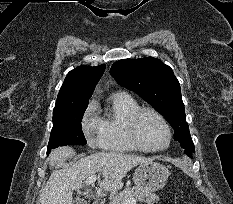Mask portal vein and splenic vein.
Masks as SVG:
<instances>
[{"label":"portal vein and splenic vein","instance_id":"18ae733b","mask_svg":"<svg viewBox=\"0 0 233 204\" xmlns=\"http://www.w3.org/2000/svg\"><path fill=\"white\" fill-rule=\"evenodd\" d=\"M96 181V175H91L87 180H86V185H91L93 183H95ZM96 195L98 197H103L105 194L101 191V190H96ZM123 204H136V200L135 199H128L125 200Z\"/></svg>","mask_w":233,"mask_h":204}]
</instances>
